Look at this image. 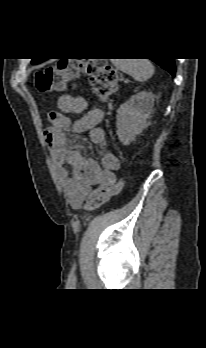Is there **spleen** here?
Masks as SVG:
<instances>
[{"mask_svg":"<svg viewBox=\"0 0 206 348\" xmlns=\"http://www.w3.org/2000/svg\"><path fill=\"white\" fill-rule=\"evenodd\" d=\"M113 65L137 81H146L154 74V66L148 59H112Z\"/></svg>","mask_w":206,"mask_h":348,"instance_id":"obj_1","label":"spleen"}]
</instances>
